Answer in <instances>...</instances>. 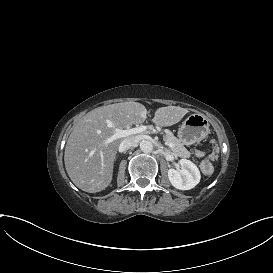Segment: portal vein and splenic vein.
<instances>
[{
  "instance_id": "1",
  "label": "portal vein and splenic vein",
  "mask_w": 273,
  "mask_h": 273,
  "mask_svg": "<svg viewBox=\"0 0 273 273\" xmlns=\"http://www.w3.org/2000/svg\"><path fill=\"white\" fill-rule=\"evenodd\" d=\"M145 130H146V126H143V125L139 126V127H136V128H132V129H126V130H121V129L116 128L115 129V134H113L111 137L106 139L105 144H109V143L113 142L116 139L127 137V136L132 135V134L141 133V132H143ZM164 145L168 146L170 148L174 147V144L171 143V142H168V141H165Z\"/></svg>"
}]
</instances>
